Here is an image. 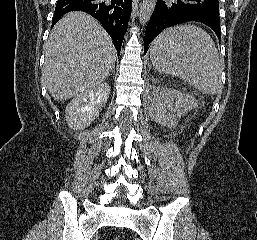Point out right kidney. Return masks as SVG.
Listing matches in <instances>:
<instances>
[{
	"label": "right kidney",
	"mask_w": 257,
	"mask_h": 240,
	"mask_svg": "<svg viewBox=\"0 0 257 240\" xmlns=\"http://www.w3.org/2000/svg\"><path fill=\"white\" fill-rule=\"evenodd\" d=\"M107 83L78 94L66 107L65 120L74 130H83L94 121L105 106L110 94Z\"/></svg>",
	"instance_id": "right-kidney-1"
}]
</instances>
